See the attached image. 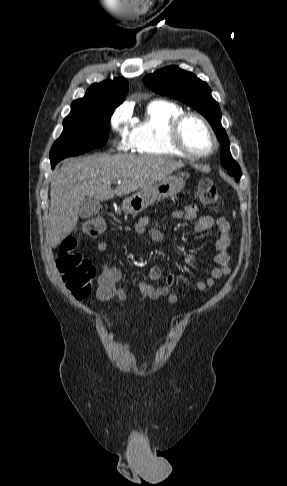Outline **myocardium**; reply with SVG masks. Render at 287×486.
Masks as SVG:
<instances>
[{"label": "myocardium", "mask_w": 287, "mask_h": 486, "mask_svg": "<svg viewBox=\"0 0 287 486\" xmlns=\"http://www.w3.org/2000/svg\"><path fill=\"white\" fill-rule=\"evenodd\" d=\"M191 118L197 119L201 124L204 126L206 131L208 132L211 138V147L206 152H194L186 147L182 139V128L185 122ZM169 140L171 145L182 155L189 157V158H206L212 155L218 146V139L217 136L211 127L208 120L198 112H183L178 117H176L173 122L171 123L170 130H169Z\"/></svg>", "instance_id": "myocardium-1"}]
</instances>
